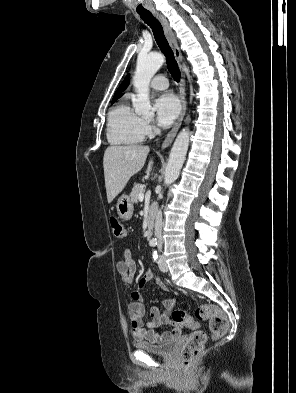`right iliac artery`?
I'll return each mask as SVG.
<instances>
[{"label":"right iliac artery","instance_id":"right-iliac-artery-1","mask_svg":"<svg viewBox=\"0 0 296 393\" xmlns=\"http://www.w3.org/2000/svg\"><path fill=\"white\" fill-rule=\"evenodd\" d=\"M149 244H150V246L155 247V246L157 245V242L154 241V240H151V241L149 242Z\"/></svg>","mask_w":296,"mask_h":393}]
</instances>
